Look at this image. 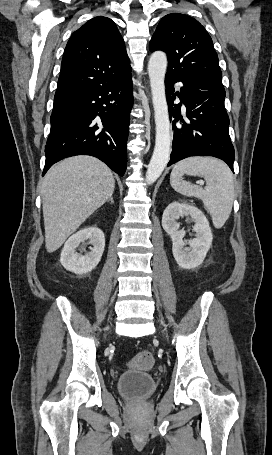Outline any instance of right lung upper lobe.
<instances>
[{
    "label": "right lung upper lobe",
    "instance_id": "obj_1",
    "mask_svg": "<svg viewBox=\"0 0 272 455\" xmlns=\"http://www.w3.org/2000/svg\"><path fill=\"white\" fill-rule=\"evenodd\" d=\"M130 74L124 40L115 23L95 17L75 31L66 45L54 102Z\"/></svg>",
    "mask_w": 272,
    "mask_h": 455
}]
</instances>
